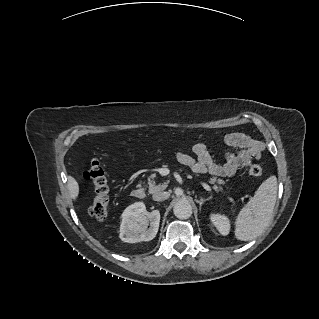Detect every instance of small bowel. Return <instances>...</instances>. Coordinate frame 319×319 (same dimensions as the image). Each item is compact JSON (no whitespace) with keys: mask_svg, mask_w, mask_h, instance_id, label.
<instances>
[{"mask_svg":"<svg viewBox=\"0 0 319 319\" xmlns=\"http://www.w3.org/2000/svg\"><path fill=\"white\" fill-rule=\"evenodd\" d=\"M225 144L228 150L223 164H217L209 148L201 142L193 145L194 156L178 152L176 158L179 163L190 168L194 173L209 172L217 177L229 178L239 169L249 166L253 160L259 159L262 152V146L258 141L241 133L227 135Z\"/></svg>","mask_w":319,"mask_h":319,"instance_id":"c3829d8e","label":"small bowel"}]
</instances>
